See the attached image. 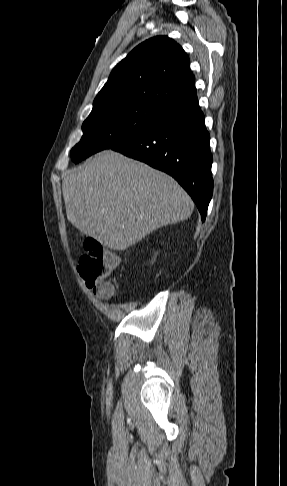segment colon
Masks as SVG:
<instances>
[{
	"mask_svg": "<svg viewBox=\"0 0 287 486\" xmlns=\"http://www.w3.org/2000/svg\"><path fill=\"white\" fill-rule=\"evenodd\" d=\"M84 248L85 253L79 259L78 271L86 286L99 298L114 297L116 289L109 277L119 265L117 255L105 250L92 238L85 241Z\"/></svg>",
	"mask_w": 287,
	"mask_h": 486,
	"instance_id": "1",
	"label": "colon"
}]
</instances>
